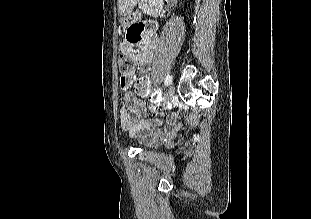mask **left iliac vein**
Segmentation results:
<instances>
[{"label":"left iliac vein","mask_w":311,"mask_h":219,"mask_svg":"<svg viewBox=\"0 0 311 219\" xmlns=\"http://www.w3.org/2000/svg\"><path fill=\"white\" fill-rule=\"evenodd\" d=\"M175 93V87L174 86H170L166 92V101H171L173 95Z\"/></svg>","instance_id":"obj_1"}]
</instances>
